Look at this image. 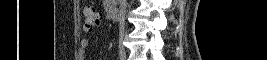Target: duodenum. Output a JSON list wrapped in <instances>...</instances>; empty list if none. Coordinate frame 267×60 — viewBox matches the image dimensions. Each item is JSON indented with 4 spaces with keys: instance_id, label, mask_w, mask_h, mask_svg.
I'll return each mask as SVG.
<instances>
[{
    "instance_id": "1",
    "label": "duodenum",
    "mask_w": 267,
    "mask_h": 60,
    "mask_svg": "<svg viewBox=\"0 0 267 60\" xmlns=\"http://www.w3.org/2000/svg\"><path fill=\"white\" fill-rule=\"evenodd\" d=\"M116 1H108L107 12L110 19H116L119 14L118 5L115 3Z\"/></svg>"
}]
</instances>
